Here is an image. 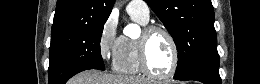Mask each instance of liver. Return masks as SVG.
Segmentation results:
<instances>
[{"label": "liver", "instance_id": "liver-1", "mask_svg": "<svg viewBox=\"0 0 260 84\" xmlns=\"http://www.w3.org/2000/svg\"><path fill=\"white\" fill-rule=\"evenodd\" d=\"M72 84H150L142 77L110 75L96 70H87L76 75Z\"/></svg>", "mask_w": 260, "mask_h": 84}]
</instances>
